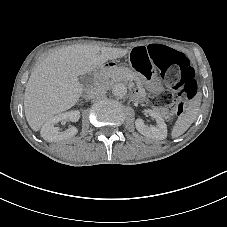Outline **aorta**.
Returning <instances> with one entry per match:
<instances>
[{
	"label": "aorta",
	"instance_id": "obj_1",
	"mask_svg": "<svg viewBox=\"0 0 227 227\" xmlns=\"http://www.w3.org/2000/svg\"><path fill=\"white\" fill-rule=\"evenodd\" d=\"M112 94L116 98H124L127 94V87L122 83H117L112 87Z\"/></svg>",
	"mask_w": 227,
	"mask_h": 227
}]
</instances>
